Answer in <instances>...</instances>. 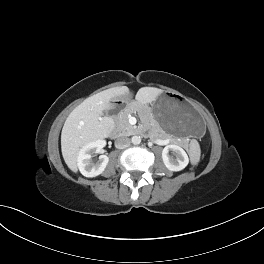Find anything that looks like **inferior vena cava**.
Masks as SVG:
<instances>
[{
    "mask_svg": "<svg viewBox=\"0 0 264 264\" xmlns=\"http://www.w3.org/2000/svg\"><path fill=\"white\" fill-rule=\"evenodd\" d=\"M130 145V139L125 136L118 137L115 140V147L119 149L126 148Z\"/></svg>",
    "mask_w": 264,
    "mask_h": 264,
    "instance_id": "602c4592",
    "label": "inferior vena cava"
}]
</instances>
